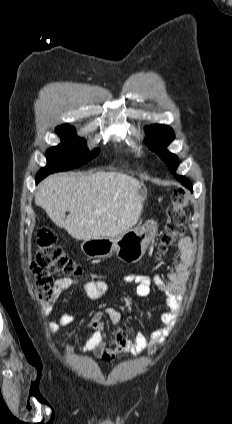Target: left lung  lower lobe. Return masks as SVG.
Segmentation results:
<instances>
[{"label": "left lung lower lobe", "mask_w": 232, "mask_h": 424, "mask_svg": "<svg viewBox=\"0 0 232 424\" xmlns=\"http://www.w3.org/2000/svg\"><path fill=\"white\" fill-rule=\"evenodd\" d=\"M178 180V179H177ZM179 181L188 189L192 191V185L186 178H180Z\"/></svg>", "instance_id": "obj_1"}]
</instances>
